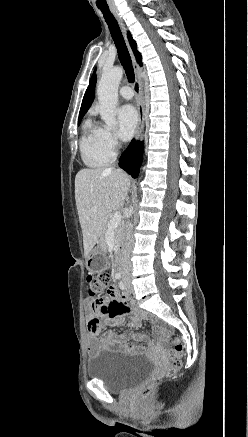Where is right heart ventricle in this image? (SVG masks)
<instances>
[{"mask_svg": "<svg viewBox=\"0 0 248 437\" xmlns=\"http://www.w3.org/2000/svg\"><path fill=\"white\" fill-rule=\"evenodd\" d=\"M80 152L83 162L90 168H102L111 162L112 155L103 145L102 128L91 119L83 124Z\"/></svg>", "mask_w": 248, "mask_h": 437, "instance_id": "obj_1", "label": "right heart ventricle"}]
</instances>
